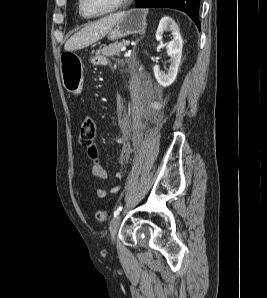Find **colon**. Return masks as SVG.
Instances as JSON below:
<instances>
[{
  "label": "colon",
  "mask_w": 267,
  "mask_h": 298,
  "mask_svg": "<svg viewBox=\"0 0 267 298\" xmlns=\"http://www.w3.org/2000/svg\"><path fill=\"white\" fill-rule=\"evenodd\" d=\"M96 135V121L92 117H85L80 124L78 139L88 156L94 160H96L99 155L98 147L95 143ZM95 218L99 222H104L108 218V213L105 209H99L95 213Z\"/></svg>",
  "instance_id": "colon-1"
}]
</instances>
